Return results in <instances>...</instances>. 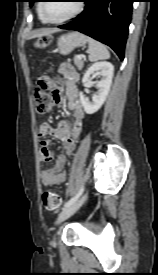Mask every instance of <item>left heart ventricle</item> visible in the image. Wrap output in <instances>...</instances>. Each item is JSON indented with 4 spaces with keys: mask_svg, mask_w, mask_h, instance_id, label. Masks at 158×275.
<instances>
[{
    "mask_svg": "<svg viewBox=\"0 0 158 275\" xmlns=\"http://www.w3.org/2000/svg\"><path fill=\"white\" fill-rule=\"evenodd\" d=\"M77 1H48L45 4V15L52 20H60L70 15L77 6Z\"/></svg>",
    "mask_w": 158,
    "mask_h": 275,
    "instance_id": "b2bd125f",
    "label": "left heart ventricle"
}]
</instances>
